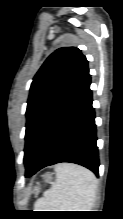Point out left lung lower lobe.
Segmentation results:
<instances>
[{"label":"left lung lower lobe","instance_id":"left-lung-lower-lobe-1","mask_svg":"<svg viewBox=\"0 0 123 219\" xmlns=\"http://www.w3.org/2000/svg\"><path fill=\"white\" fill-rule=\"evenodd\" d=\"M88 75L71 91L44 126L26 163V177L61 162L82 165L99 175L95 112Z\"/></svg>","mask_w":123,"mask_h":219}]
</instances>
